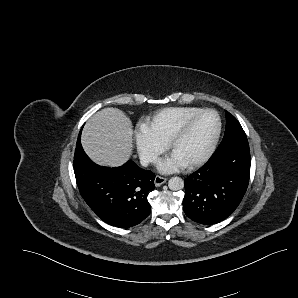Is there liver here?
Instances as JSON below:
<instances>
[{
	"label": "liver",
	"instance_id": "1",
	"mask_svg": "<svg viewBox=\"0 0 298 298\" xmlns=\"http://www.w3.org/2000/svg\"><path fill=\"white\" fill-rule=\"evenodd\" d=\"M133 130L129 118L119 109L104 108L86 122L81 143L97 164L117 167L132 155Z\"/></svg>",
	"mask_w": 298,
	"mask_h": 298
}]
</instances>
